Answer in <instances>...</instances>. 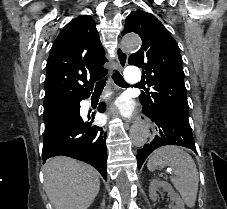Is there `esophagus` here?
Here are the masks:
<instances>
[{"label":"esophagus","mask_w":227,"mask_h":209,"mask_svg":"<svg viewBox=\"0 0 227 209\" xmlns=\"http://www.w3.org/2000/svg\"><path fill=\"white\" fill-rule=\"evenodd\" d=\"M115 54L119 65V70L122 71L127 65L129 55L120 46L117 47ZM137 121H141L142 128H146V133H148L146 142L152 143L154 141L153 138H156V126L153 124V121L150 120L149 116L139 117Z\"/></svg>","instance_id":"obj_1"}]
</instances>
